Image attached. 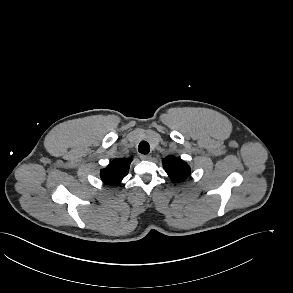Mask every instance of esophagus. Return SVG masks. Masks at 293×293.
I'll return each instance as SVG.
<instances>
[{
  "instance_id": "esophagus-1",
  "label": "esophagus",
  "mask_w": 293,
  "mask_h": 293,
  "mask_svg": "<svg viewBox=\"0 0 293 293\" xmlns=\"http://www.w3.org/2000/svg\"><path fill=\"white\" fill-rule=\"evenodd\" d=\"M140 158H141L142 160H150V159H151V156H150V155H144V154H141V155H140Z\"/></svg>"
}]
</instances>
